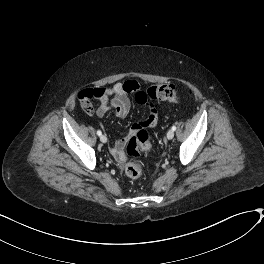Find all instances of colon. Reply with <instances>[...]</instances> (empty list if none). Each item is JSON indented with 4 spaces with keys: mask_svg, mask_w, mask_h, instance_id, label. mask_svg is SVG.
<instances>
[{
    "mask_svg": "<svg viewBox=\"0 0 264 264\" xmlns=\"http://www.w3.org/2000/svg\"><path fill=\"white\" fill-rule=\"evenodd\" d=\"M94 94L93 90H85L80 95V102L83 110L85 112L92 111L91 100L93 99ZM191 91L186 89L181 93H179L175 87L162 84V85H154L149 87L146 90L139 91L135 100L139 104L143 105H153L157 100H168L170 102H178L182 98H190ZM142 150L144 152H150L152 150V144L150 142L149 135L146 131L142 130L139 124L137 125V132L135 136L130 139L127 145V153L131 156L138 155V151ZM143 166L139 161H133L129 163L125 168V174L130 179H139L143 175Z\"/></svg>",
    "mask_w": 264,
    "mask_h": 264,
    "instance_id": "colon-1",
    "label": "colon"
}]
</instances>
